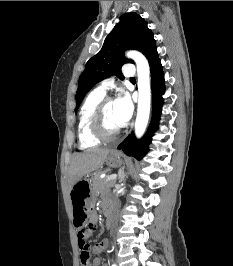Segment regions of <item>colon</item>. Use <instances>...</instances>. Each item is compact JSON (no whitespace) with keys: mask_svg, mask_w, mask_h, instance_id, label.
Segmentation results:
<instances>
[{"mask_svg":"<svg viewBox=\"0 0 233 266\" xmlns=\"http://www.w3.org/2000/svg\"><path fill=\"white\" fill-rule=\"evenodd\" d=\"M95 228L93 223H89L87 228H82L78 232V244L80 247V260L82 266H88L91 260L90 248L89 245L86 243L84 236L86 231H93Z\"/></svg>","mask_w":233,"mask_h":266,"instance_id":"1","label":"colon"}]
</instances>
